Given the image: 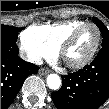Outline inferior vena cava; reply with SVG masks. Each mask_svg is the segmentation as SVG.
<instances>
[{"mask_svg":"<svg viewBox=\"0 0 109 109\" xmlns=\"http://www.w3.org/2000/svg\"><path fill=\"white\" fill-rule=\"evenodd\" d=\"M29 61L30 62H33L37 65H41L43 63L42 59L39 58V57H32V58H29Z\"/></svg>","mask_w":109,"mask_h":109,"instance_id":"obj_1","label":"inferior vena cava"}]
</instances>
